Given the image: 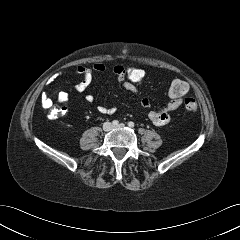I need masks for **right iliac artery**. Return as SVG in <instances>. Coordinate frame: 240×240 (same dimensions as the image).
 I'll return each mask as SVG.
<instances>
[{
  "instance_id": "obj_1",
  "label": "right iliac artery",
  "mask_w": 240,
  "mask_h": 240,
  "mask_svg": "<svg viewBox=\"0 0 240 240\" xmlns=\"http://www.w3.org/2000/svg\"><path fill=\"white\" fill-rule=\"evenodd\" d=\"M112 124H113L114 126H117V125L119 124V121H118V120H114V121L112 122Z\"/></svg>"
}]
</instances>
